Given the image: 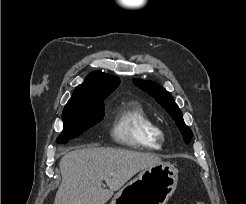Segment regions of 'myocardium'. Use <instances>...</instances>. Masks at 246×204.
Wrapping results in <instances>:
<instances>
[{"label": "myocardium", "mask_w": 246, "mask_h": 204, "mask_svg": "<svg viewBox=\"0 0 246 204\" xmlns=\"http://www.w3.org/2000/svg\"><path fill=\"white\" fill-rule=\"evenodd\" d=\"M163 138H164V134L162 131H160V134H159V139L161 140V142L163 141Z\"/></svg>", "instance_id": "f54148a6"}]
</instances>
